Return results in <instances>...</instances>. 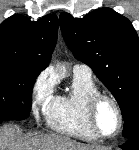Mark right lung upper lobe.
Returning <instances> with one entry per match:
<instances>
[{
    "label": "right lung upper lobe",
    "mask_w": 139,
    "mask_h": 150,
    "mask_svg": "<svg viewBox=\"0 0 139 150\" xmlns=\"http://www.w3.org/2000/svg\"><path fill=\"white\" fill-rule=\"evenodd\" d=\"M58 18L48 14L37 21L15 14L0 24V65L44 70L57 41Z\"/></svg>",
    "instance_id": "1"
}]
</instances>
